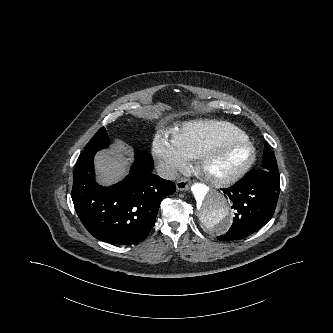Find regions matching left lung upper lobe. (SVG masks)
<instances>
[{
  "instance_id": "left-lung-upper-lobe-1",
  "label": "left lung upper lobe",
  "mask_w": 333,
  "mask_h": 333,
  "mask_svg": "<svg viewBox=\"0 0 333 333\" xmlns=\"http://www.w3.org/2000/svg\"><path fill=\"white\" fill-rule=\"evenodd\" d=\"M258 170H260L262 173L279 175L276 158L272 152L268 154L264 152L262 165Z\"/></svg>"
}]
</instances>
